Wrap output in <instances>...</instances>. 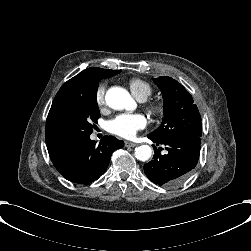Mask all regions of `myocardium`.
<instances>
[{"mask_svg":"<svg viewBox=\"0 0 251 251\" xmlns=\"http://www.w3.org/2000/svg\"><path fill=\"white\" fill-rule=\"evenodd\" d=\"M142 102L145 104L147 110L153 114H159L163 111L161 102L149 99L142 100Z\"/></svg>","mask_w":251,"mask_h":251,"instance_id":"1","label":"myocardium"}]
</instances>
